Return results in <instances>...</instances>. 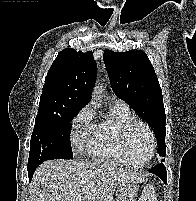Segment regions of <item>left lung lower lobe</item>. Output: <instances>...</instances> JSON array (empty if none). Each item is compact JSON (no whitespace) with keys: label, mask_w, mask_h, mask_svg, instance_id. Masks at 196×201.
I'll return each mask as SVG.
<instances>
[{"label":"left lung lower lobe","mask_w":196,"mask_h":201,"mask_svg":"<svg viewBox=\"0 0 196 201\" xmlns=\"http://www.w3.org/2000/svg\"><path fill=\"white\" fill-rule=\"evenodd\" d=\"M149 172L159 176L163 180V182L167 184V172L163 163L155 165L149 170Z\"/></svg>","instance_id":"obj_1"}]
</instances>
